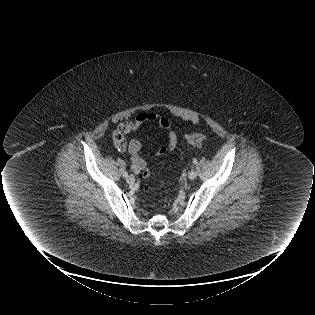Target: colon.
<instances>
[{
  "instance_id": "5ec220e1",
  "label": "colon",
  "mask_w": 315,
  "mask_h": 315,
  "mask_svg": "<svg viewBox=\"0 0 315 315\" xmlns=\"http://www.w3.org/2000/svg\"><path fill=\"white\" fill-rule=\"evenodd\" d=\"M206 140H207V136L204 134H201V133L192 134V135L187 137V142L191 145H200ZM113 142H114L115 147L118 150H124L125 149L126 141H125L123 132L120 129H118L114 133ZM149 174H150L149 169L143 170V176L144 177H148Z\"/></svg>"
}]
</instances>
